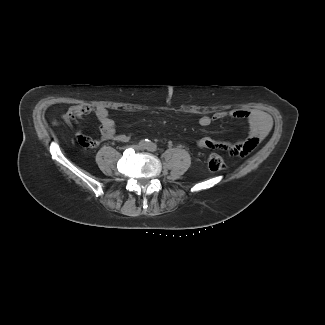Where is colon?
Returning a JSON list of instances; mask_svg holds the SVG:
<instances>
[{
	"mask_svg": "<svg viewBox=\"0 0 325 325\" xmlns=\"http://www.w3.org/2000/svg\"><path fill=\"white\" fill-rule=\"evenodd\" d=\"M208 166L211 171L219 172L226 168V163L220 155L212 153L208 157Z\"/></svg>",
	"mask_w": 325,
	"mask_h": 325,
	"instance_id": "obj_1",
	"label": "colon"
}]
</instances>
